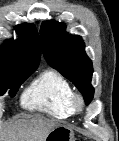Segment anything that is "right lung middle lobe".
Instances as JSON below:
<instances>
[{
    "label": "right lung middle lobe",
    "mask_w": 119,
    "mask_h": 141,
    "mask_svg": "<svg viewBox=\"0 0 119 141\" xmlns=\"http://www.w3.org/2000/svg\"><path fill=\"white\" fill-rule=\"evenodd\" d=\"M22 73V74H0V96L5 94L7 91L10 96L13 97L18 91L21 84L32 74Z\"/></svg>",
    "instance_id": "1"
}]
</instances>
